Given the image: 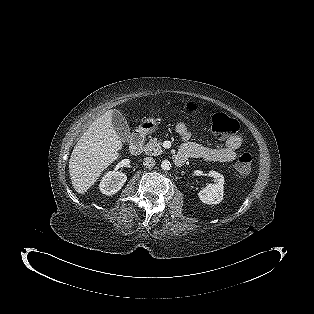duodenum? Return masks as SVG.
I'll use <instances>...</instances> for the list:
<instances>
[{
	"instance_id": "duodenum-1",
	"label": "duodenum",
	"mask_w": 314,
	"mask_h": 314,
	"mask_svg": "<svg viewBox=\"0 0 314 314\" xmlns=\"http://www.w3.org/2000/svg\"><path fill=\"white\" fill-rule=\"evenodd\" d=\"M145 144V135L143 132L137 131L133 134L131 145H130V152L132 155H139L144 147ZM175 162L177 165L181 166L184 164L185 159L181 155H177L175 158Z\"/></svg>"
}]
</instances>
